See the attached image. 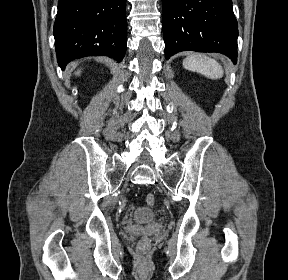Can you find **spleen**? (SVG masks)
I'll return each mask as SVG.
<instances>
[{
    "label": "spleen",
    "mask_w": 288,
    "mask_h": 280,
    "mask_svg": "<svg viewBox=\"0 0 288 280\" xmlns=\"http://www.w3.org/2000/svg\"><path fill=\"white\" fill-rule=\"evenodd\" d=\"M183 67L206 76L209 79H220L224 75L222 66L203 54H193L183 60Z\"/></svg>",
    "instance_id": "spleen-1"
}]
</instances>
